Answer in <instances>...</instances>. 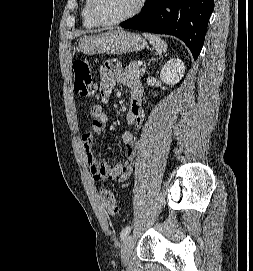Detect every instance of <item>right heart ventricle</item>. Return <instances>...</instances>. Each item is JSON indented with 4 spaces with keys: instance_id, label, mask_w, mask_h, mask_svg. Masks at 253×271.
<instances>
[{
    "instance_id": "obj_1",
    "label": "right heart ventricle",
    "mask_w": 253,
    "mask_h": 271,
    "mask_svg": "<svg viewBox=\"0 0 253 271\" xmlns=\"http://www.w3.org/2000/svg\"><path fill=\"white\" fill-rule=\"evenodd\" d=\"M81 16H82V22L85 28L94 29L98 27V25L95 23L90 13V0H84Z\"/></svg>"
}]
</instances>
